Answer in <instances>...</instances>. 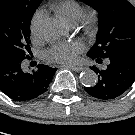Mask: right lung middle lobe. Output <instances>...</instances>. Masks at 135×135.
<instances>
[{"instance_id":"1","label":"right lung middle lobe","mask_w":135,"mask_h":135,"mask_svg":"<svg viewBox=\"0 0 135 135\" xmlns=\"http://www.w3.org/2000/svg\"><path fill=\"white\" fill-rule=\"evenodd\" d=\"M40 3V0H0V49L27 57L30 21Z\"/></svg>"}]
</instances>
